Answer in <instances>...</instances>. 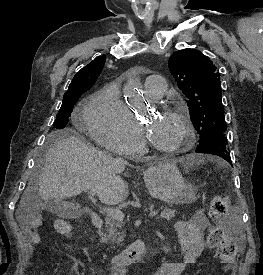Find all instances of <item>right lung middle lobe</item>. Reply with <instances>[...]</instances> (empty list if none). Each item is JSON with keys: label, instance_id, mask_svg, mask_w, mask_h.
Here are the masks:
<instances>
[{"label": "right lung middle lobe", "instance_id": "1", "mask_svg": "<svg viewBox=\"0 0 263 275\" xmlns=\"http://www.w3.org/2000/svg\"><path fill=\"white\" fill-rule=\"evenodd\" d=\"M88 89H82L64 94L63 102L59 112L57 113L55 123L53 125L56 129H63L68 124V118L73 111V106L77 102L81 94L86 92Z\"/></svg>", "mask_w": 263, "mask_h": 275}]
</instances>
